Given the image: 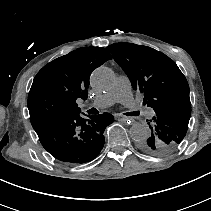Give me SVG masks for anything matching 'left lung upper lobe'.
I'll list each match as a JSON object with an SVG mask.
<instances>
[{
  "instance_id": "1",
  "label": "left lung upper lobe",
  "mask_w": 211,
  "mask_h": 211,
  "mask_svg": "<svg viewBox=\"0 0 211 211\" xmlns=\"http://www.w3.org/2000/svg\"><path fill=\"white\" fill-rule=\"evenodd\" d=\"M131 81L144 95L143 104L155 115L148 123L151 136L141 144L151 155H164L180 146L191 116L188 82L176 63L165 54L133 43L107 47ZM148 121V120H147Z\"/></svg>"
}]
</instances>
